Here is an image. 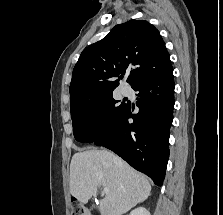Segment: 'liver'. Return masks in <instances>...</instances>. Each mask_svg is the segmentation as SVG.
<instances>
[{"label": "liver", "instance_id": "1", "mask_svg": "<svg viewBox=\"0 0 223 215\" xmlns=\"http://www.w3.org/2000/svg\"><path fill=\"white\" fill-rule=\"evenodd\" d=\"M108 187L99 201L101 215H122L150 195L151 185L118 155L107 149L74 153L70 163V193L87 203L97 187Z\"/></svg>", "mask_w": 223, "mask_h": 215}]
</instances>
